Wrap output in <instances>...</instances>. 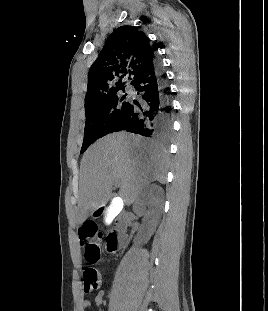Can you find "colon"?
<instances>
[{"label":"colon","mask_w":268,"mask_h":311,"mask_svg":"<svg viewBox=\"0 0 268 311\" xmlns=\"http://www.w3.org/2000/svg\"><path fill=\"white\" fill-rule=\"evenodd\" d=\"M79 237L85 261L90 264L98 263L102 257V247L97 241V225L93 222L85 223L80 229ZM83 277L86 292H91L98 288L100 284V276L96 269H85Z\"/></svg>","instance_id":"obj_1"}]
</instances>
